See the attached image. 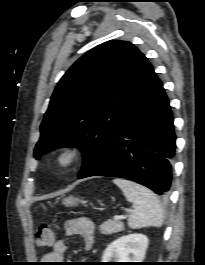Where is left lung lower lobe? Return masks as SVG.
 <instances>
[{
    "instance_id": "1",
    "label": "left lung lower lobe",
    "mask_w": 205,
    "mask_h": 265,
    "mask_svg": "<svg viewBox=\"0 0 205 265\" xmlns=\"http://www.w3.org/2000/svg\"><path fill=\"white\" fill-rule=\"evenodd\" d=\"M175 140L169 100L153 71L142 94L78 178L120 177L164 195L171 186Z\"/></svg>"
}]
</instances>
